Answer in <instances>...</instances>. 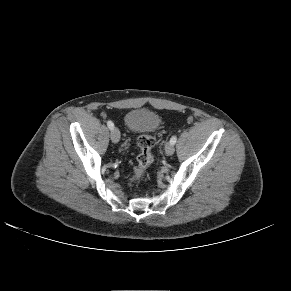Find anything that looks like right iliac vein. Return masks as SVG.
<instances>
[{
	"label": "right iliac vein",
	"mask_w": 291,
	"mask_h": 291,
	"mask_svg": "<svg viewBox=\"0 0 291 291\" xmlns=\"http://www.w3.org/2000/svg\"><path fill=\"white\" fill-rule=\"evenodd\" d=\"M110 136L112 142L118 143L120 140V131L118 130V128H113Z\"/></svg>",
	"instance_id": "63e3f726"
}]
</instances>
